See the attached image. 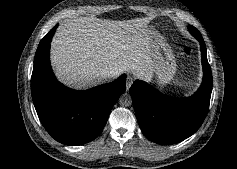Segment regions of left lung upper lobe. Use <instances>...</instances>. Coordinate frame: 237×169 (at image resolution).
<instances>
[{"mask_svg":"<svg viewBox=\"0 0 237 169\" xmlns=\"http://www.w3.org/2000/svg\"><path fill=\"white\" fill-rule=\"evenodd\" d=\"M189 28H190V29H193L195 32H197L198 34H200L199 31H198L195 27L189 26Z\"/></svg>","mask_w":237,"mask_h":169,"instance_id":"obj_1","label":"left lung upper lobe"}]
</instances>
